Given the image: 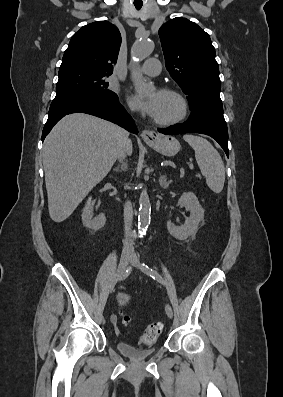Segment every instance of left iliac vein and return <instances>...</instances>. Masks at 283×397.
Here are the masks:
<instances>
[{
  "mask_svg": "<svg viewBox=\"0 0 283 397\" xmlns=\"http://www.w3.org/2000/svg\"><path fill=\"white\" fill-rule=\"evenodd\" d=\"M129 259H130V263H131V265L133 267H135L137 269H141L140 262H139L138 258L136 257V255L131 254ZM165 311H166V314H167V316L169 318L173 317V310H172V307L169 304L165 305Z\"/></svg>",
  "mask_w": 283,
  "mask_h": 397,
  "instance_id": "1",
  "label": "left iliac vein"
}]
</instances>
